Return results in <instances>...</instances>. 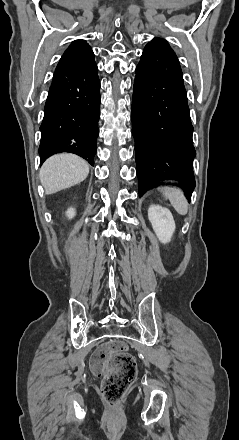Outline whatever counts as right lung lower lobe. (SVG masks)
<instances>
[{"label":"right lung lower lobe","mask_w":239,"mask_h":440,"mask_svg":"<svg viewBox=\"0 0 239 440\" xmlns=\"http://www.w3.org/2000/svg\"><path fill=\"white\" fill-rule=\"evenodd\" d=\"M97 72L96 63L57 66L40 126L41 164L56 153L70 152L94 165L101 101Z\"/></svg>","instance_id":"right-lung-lower-lobe-1"}]
</instances>
